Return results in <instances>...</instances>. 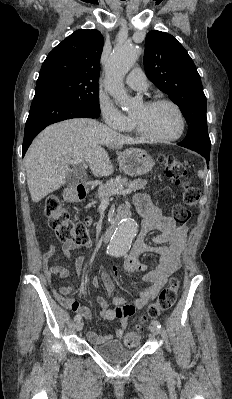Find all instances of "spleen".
I'll use <instances>...</instances> for the list:
<instances>
[{
	"mask_svg": "<svg viewBox=\"0 0 232 399\" xmlns=\"http://www.w3.org/2000/svg\"><path fill=\"white\" fill-rule=\"evenodd\" d=\"M198 176H199V178H204V172H203V170H199Z\"/></svg>",
	"mask_w": 232,
	"mask_h": 399,
	"instance_id": "obj_1",
	"label": "spleen"
}]
</instances>
